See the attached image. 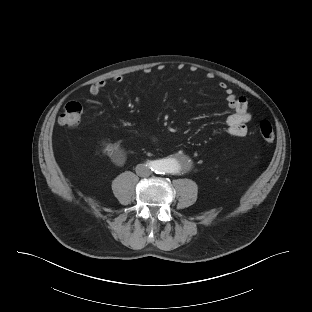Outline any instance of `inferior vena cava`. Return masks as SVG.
<instances>
[{
	"label": "inferior vena cava",
	"mask_w": 312,
	"mask_h": 312,
	"mask_svg": "<svg viewBox=\"0 0 312 312\" xmlns=\"http://www.w3.org/2000/svg\"><path fill=\"white\" fill-rule=\"evenodd\" d=\"M136 173L141 176V177H147L150 175V170L148 167L144 166V165H139L136 168Z\"/></svg>",
	"instance_id": "602c4592"
}]
</instances>
